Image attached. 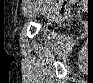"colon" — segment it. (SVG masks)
Returning a JSON list of instances; mask_svg holds the SVG:
<instances>
[{
	"label": "colon",
	"mask_w": 93,
	"mask_h": 83,
	"mask_svg": "<svg viewBox=\"0 0 93 83\" xmlns=\"http://www.w3.org/2000/svg\"><path fill=\"white\" fill-rule=\"evenodd\" d=\"M50 2L56 4L60 8L72 3V2H69V1H55V2L50 1Z\"/></svg>",
	"instance_id": "1"
}]
</instances>
